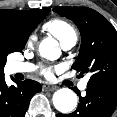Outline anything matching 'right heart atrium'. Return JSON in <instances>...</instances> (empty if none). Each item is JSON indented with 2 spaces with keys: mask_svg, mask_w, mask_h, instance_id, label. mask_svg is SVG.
<instances>
[{
  "mask_svg": "<svg viewBox=\"0 0 117 117\" xmlns=\"http://www.w3.org/2000/svg\"><path fill=\"white\" fill-rule=\"evenodd\" d=\"M35 40V35H31L28 39V43H32Z\"/></svg>",
  "mask_w": 117,
  "mask_h": 117,
  "instance_id": "right-heart-atrium-1",
  "label": "right heart atrium"
}]
</instances>
